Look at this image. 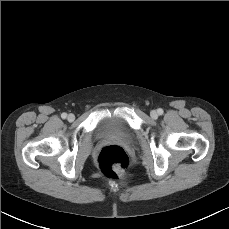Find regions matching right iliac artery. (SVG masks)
I'll return each instance as SVG.
<instances>
[{"label": "right iliac artery", "mask_w": 229, "mask_h": 229, "mask_svg": "<svg viewBox=\"0 0 229 229\" xmlns=\"http://www.w3.org/2000/svg\"><path fill=\"white\" fill-rule=\"evenodd\" d=\"M61 117H62L63 119H65V118L67 117V114H66V113H62V114H61Z\"/></svg>", "instance_id": "right-iliac-artery-1"}]
</instances>
